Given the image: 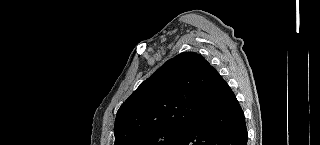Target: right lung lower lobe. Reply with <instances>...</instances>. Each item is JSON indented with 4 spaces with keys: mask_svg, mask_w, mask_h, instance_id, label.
<instances>
[{
    "mask_svg": "<svg viewBox=\"0 0 320 145\" xmlns=\"http://www.w3.org/2000/svg\"><path fill=\"white\" fill-rule=\"evenodd\" d=\"M220 101L206 118L189 124L171 145H246L247 129L242 108L233 91L223 81Z\"/></svg>",
    "mask_w": 320,
    "mask_h": 145,
    "instance_id": "1",
    "label": "right lung lower lobe"
}]
</instances>
